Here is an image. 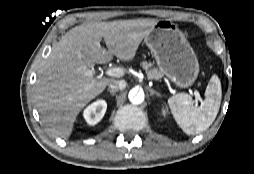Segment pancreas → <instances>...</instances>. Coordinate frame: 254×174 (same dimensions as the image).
Masks as SVG:
<instances>
[{
  "label": "pancreas",
  "instance_id": "obj_1",
  "mask_svg": "<svg viewBox=\"0 0 254 174\" xmlns=\"http://www.w3.org/2000/svg\"><path fill=\"white\" fill-rule=\"evenodd\" d=\"M142 68L146 71L147 77L149 79H155L158 80L160 79L163 74L157 69V68H152L153 63H148L146 61L141 63Z\"/></svg>",
  "mask_w": 254,
  "mask_h": 174
}]
</instances>
